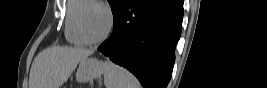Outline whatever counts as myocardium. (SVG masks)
<instances>
[{
    "instance_id": "myocardium-1",
    "label": "myocardium",
    "mask_w": 267,
    "mask_h": 88,
    "mask_svg": "<svg viewBox=\"0 0 267 88\" xmlns=\"http://www.w3.org/2000/svg\"><path fill=\"white\" fill-rule=\"evenodd\" d=\"M90 6H95V7L101 8L107 15V27H106V30L100 37H98L96 39L90 38L87 35V33H86L85 29H84V26H83V15H84V12ZM113 24H114V17H113V13H112L110 7L107 4H105L103 2H100V1H92L90 4L85 6L81 10V12L79 13L78 18H77V27H78L79 34L81 35V37L83 38V40L87 44H97V43H100V42L104 41L109 36V34L111 33L112 28H113Z\"/></svg>"
}]
</instances>
